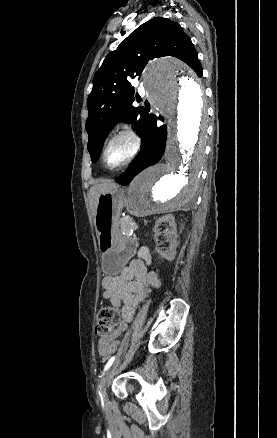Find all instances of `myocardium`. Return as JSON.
I'll list each match as a JSON object with an SVG mask.
<instances>
[{
	"mask_svg": "<svg viewBox=\"0 0 277 438\" xmlns=\"http://www.w3.org/2000/svg\"><path fill=\"white\" fill-rule=\"evenodd\" d=\"M119 139H128L130 141L131 147L130 151L127 155V157L118 165L110 166L106 161V152L110 145L119 140ZM141 149V138L137 134V132L132 128H126L123 129L117 133H115L105 144L102 153H101V159L104 164V166L109 170H118L121 168L126 167L129 165L138 155L139 151Z\"/></svg>",
	"mask_w": 277,
	"mask_h": 438,
	"instance_id": "f54148a6",
	"label": "myocardium"
}]
</instances>
